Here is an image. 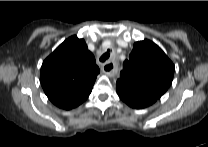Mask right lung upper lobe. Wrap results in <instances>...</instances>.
Instances as JSON below:
<instances>
[{
  "label": "right lung upper lobe",
  "mask_w": 208,
  "mask_h": 147,
  "mask_svg": "<svg viewBox=\"0 0 208 147\" xmlns=\"http://www.w3.org/2000/svg\"><path fill=\"white\" fill-rule=\"evenodd\" d=\"M99 72L85 41L71 36L44 60L40 80L51 102L69 110L88 98Z\"/></svg>",
  "instance_id": "obj_1"
}]
</instances>
